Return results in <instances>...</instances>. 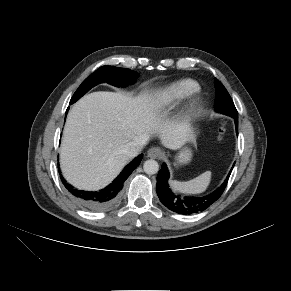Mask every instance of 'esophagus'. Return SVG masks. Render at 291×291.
Wrapping results in <instances>:
<instances>
[{
  "mask_svg": "<svg viewBox=\"0 0 291 291\" xmlns=\"http://www.w3.org/2000/svg\"><path fill=\"white\" fill-rule=\"evenodd\" d=\"M147 156L153 159L160 158L162 156V151L159 147H151L147 151Z\"/></svg>",
  "mask_w": 291,
  "mask_h": 291,
  "instance_id": "esophagus-1",
  "label": "esophagus"
}]
</instances>
